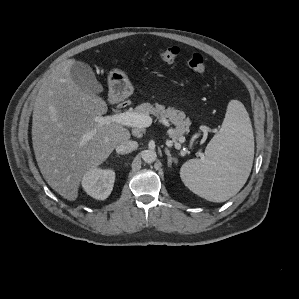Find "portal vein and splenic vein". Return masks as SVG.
<instances>
[{
	"label": "portal vein and splenic vein",
	"instance_id": "18ae733b",
	"mask_svg": "<svg viewBox=\"0 0 299 299\" xmlns=\"http://www.w3.org/2000/svg\"><path fill=\"white\" fill-rule=\"evenodd\" d=\"M96 122L98 123V126L115 123L123 126L135 127L141 129V128L149 127L152 124V118L150 116L127 111L123 113L107 115L104 117H98L96 119ZM162 123L166 126H169V123L166 120H163ZM204 128L205 130L207 129V127ZM171 131L172 130H169V132ZM91 136H92L91 133L85 135L82 138L80 145H83L85 142H87L91 138ZM167 143L168 145H170L171 142L169 141Z\"/></svg>",
	"mask_w": 299,
	"mask_h": 299
}]
</instances>
